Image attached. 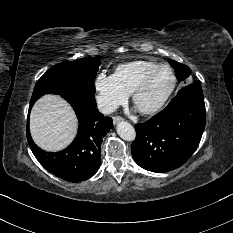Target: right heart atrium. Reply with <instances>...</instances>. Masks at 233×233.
<instances>
[{"mask_svg":"<svg viewBox=\"0 0 233 233\" xmlns=\"http://www.w3.org/2000/svg\"><path fill=\"white\" fill-rule=\"evenodd\" d=\"M94 90L99 108L104 112H112L123 104L129 94L118 84L114 75L99 72L94 80Z\"/></svg>","mask_w":233,"mask_h":233,"instance_id":"right-heart-atrium-1","label":"right heart atrium"}]
</instances>
